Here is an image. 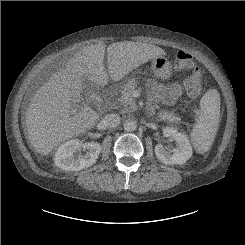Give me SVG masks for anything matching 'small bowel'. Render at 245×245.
I'll use <instances>...</instances> for the list:
<instances>
[{"label": "small bowel", "instance_id": "1", "mask_svg": "<svg viewBox=\"0 0 245 245\" xmlns=\"http://www.w3.org/2000/svg\"><path fill=\"white\" fill-rule=\"evenodd\" d=\"M152 87L153 102L150 105V112L153 113L158 103L163 105H172L182 93L180 83H173L165 85L161 82L152 80L150 82Z\"/></svg>", "mask_w": 245, "mask_h": 245}]
</instances>
